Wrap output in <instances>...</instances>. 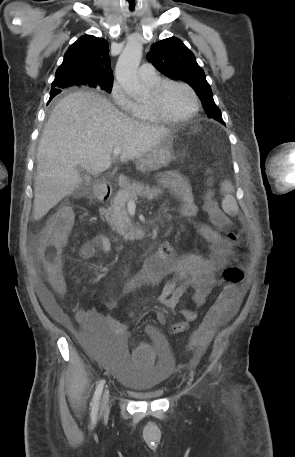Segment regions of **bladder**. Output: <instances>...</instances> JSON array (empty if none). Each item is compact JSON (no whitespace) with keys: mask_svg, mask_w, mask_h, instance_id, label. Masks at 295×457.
<instances>
[{"mask_svg":"<svg viewBox=\"0 0 295 457\" xmlns=\"http://www.w3.org/2000/svg\"><path fill=\"white\" fill-rule=\"evenodd\" d=\"M127 339L114 337L82 338L84 356H93L98 365H106L118 382L137 396L146 399L160 398L164 386L170 381L175 361L169 360L170 345H157L154 366H132Z\"/></svg>","mask_w":295,"mask_h":457,"instance_id":"bladder-1","label":"bladder"}]
</instances>
